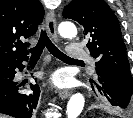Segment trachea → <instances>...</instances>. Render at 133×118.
<instances>
[{"label":"trachea","instance_id":"3493384b","mask_svg":"<svg viewBox=\"0 0 133 118\" xmlns=\"http://www.w3.org/2000/svg\"><path fill=\"white\" fill-rule=\"evenodd\" d=\"M47 47L48 51L56 58L62 60V61H71V62H78V63H83L81 60H75L73 58H70L63 52H61L49 39L47 36L46 31L42 30L40 39L37 43V45L34 48L30 49L31 52V59L32 60H38L42 54V51L44 47Z\"/></svg>","mask_w":133,"mask_h":118}]
</instances>
